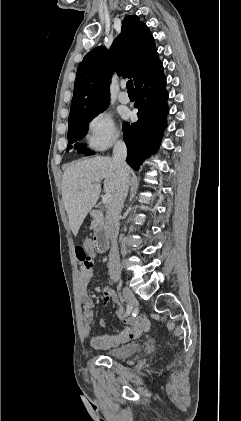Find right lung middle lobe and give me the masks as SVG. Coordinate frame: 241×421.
I'll use <instances>...</instances> for the list:
<instances>
[{
	"mask_svg": "<svg viewBox=\"0 0 241 421\" xmlns=\"http://www.w3.org/2000/svg\"><path fill=\"white\" fill-rule=\"evenodd\" d=\"M106 109V108H105ZM105 109L98 111L93 114L81 116L74 119H69V128H68V146L67 150L74 148L78 153H85L86 155H91L92 153L87 151L84 144H79L77 141L82 140L88 130L89 122L99 113L103 112ZM74 146H72V144Z\"/></svg>",
	"mask_w": 241,
	"mask_h": 421,
	"instance_id": "dd1d6c3e",
	"label": "right lung middle lobe"
}]
</instances>
